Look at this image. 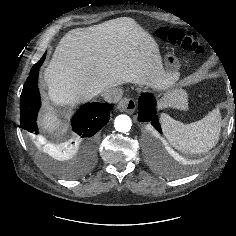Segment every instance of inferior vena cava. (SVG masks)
<instances>
[{
  "instance_id": "obj_1",
  "label": "inferior vena cava",
  "mask_w": 236,
  "mask_h": 236,
  "mask_svg": "<svg viewBox=\"0 0 236 236\" xmlns=\"http://www.w3.org/2000/svg\"><path fill=\"white\" fill-rule=\"evenodd\" d=\"M123 92L120 88H110L103 92L102 96L108 103H117L121 100Z\"/></svg>"
}]
</instances>
